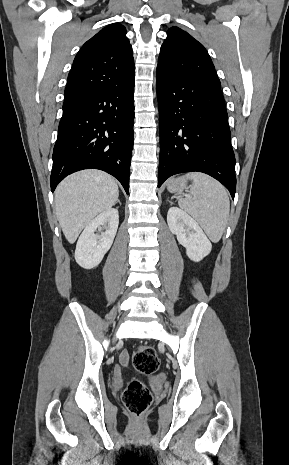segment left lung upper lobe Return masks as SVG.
<instances>
[{"label": "left lung upper lobe", "mask_w": 289, "mask_h": 465, "mask_svg": "<svg viewBox=\"0 0 289 465\" xmlns=\"http://www.w3.org/2000/svg\"><path fill=\"white\" fill-rule=\"evenodd\" d=\"M157 73L170 79L194 80L221 86L204 46L178 27H172L167 32L159 55Z\"/></svg>", "instance_id": "obj_1"}]
</instances>
